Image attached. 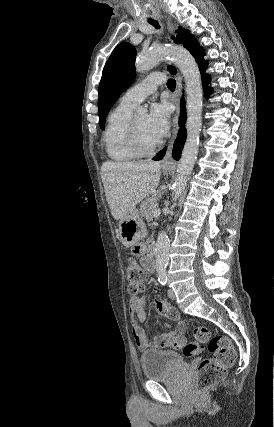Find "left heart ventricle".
<instances>
[{
	"label": "left heart ventricle",
	"instance_id": "left-heart-ventricle-1",
	"mask_svg": "<svg viewBox=\"0 0 274 427\" xmlns=\"http://www.w3.org/2000/svg\"><path fill=\"white\" fill-rule=\"evenodd\" d=\"M147 120V114H142L135 118L140 142L144 149H149L160 141V139H157L150 134L147 127Z\"/></svg>",
	"mask_w": 274,
	"mask_h": 427
}]
</instances>
